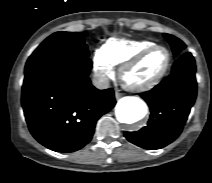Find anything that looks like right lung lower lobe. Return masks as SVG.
<instances>
[{"label": "right lung lower lobe", "mask_w": 212, "mask_h": 183, "mask_svg": "<svg viewBox=\"0 0 212 183\" xmlns=\"http://www.w3.org/2000/svg\"><path fill=\"white\" fill-rule=\"evenodd\" d=\"M88 57L28 59L22 106L31 134L45 147L74 152L92 138L97 120L115 103L111 88L96 89Z\"/></svg>", "instance_id": "obj_1"}]
</instances>
